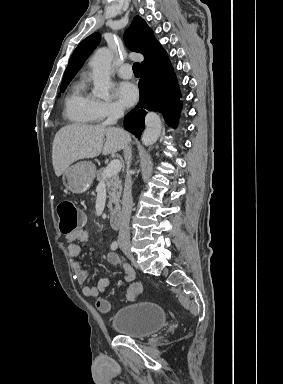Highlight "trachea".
Masks as SVG:
<instances>
[{
    "instance_id": "trachea-1",
    "label": "trachea",
    "mask_w": 283,
    "mask_h": 384,
    "mask_svg": "<svg viewBox=\"0 0 283 384\" xmlns=\"http://www.w3.org/2000/svg\"><path fill=\"white\" fill-rule=\"evenodd\" d=\"M139 63L138 62H135L134 64H133V72H134V74H140V71H139Z\"/></svg>"
}]
</instances>
